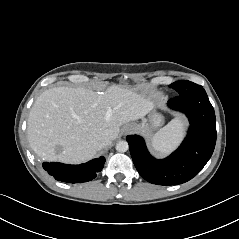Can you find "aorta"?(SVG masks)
I'll return each instance as SVG.
<instances>
[{
    "instance_id": "obj_1",
    "label": "aorta",
    "mask_w": 239,
    "mask_h": 239,
    "mask_svg": "<svg viewBox=\"0 0 239 239\" xmlns=\"http://www.w3.org/2000/svg\"><path fill=\"white\" fill-rule=\"evenodd\" d=\"M129 149V145L127 143V141H119L117 144H116V150L118 152H126L127 150Z\"/></svg>"
}]
</instances>
